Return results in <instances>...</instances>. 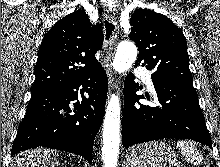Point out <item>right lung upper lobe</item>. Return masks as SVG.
Returning a JSON list of instances; mask_svg holds the SVG:
<instances>
[{
    "instance_id": "right-lung-upper-lobe-1",
    "label": "right lung upper lobe",
    "mask_w": 220,
    "mask_h": 167,
    "mask_svg": "<svg viewBox=\"0 0 220 167\" xmlns=\"http://www.w3.org/2000/svg\"><path fill=\"white\" fill-rule=\"evenodd\" d=\"M103 40L101 25H92L85 11L77 10L60 19L42 40L31 93L62 87L94 74L102 67L95 53L102 48Z\"/></svg>"
}]
</instances>
